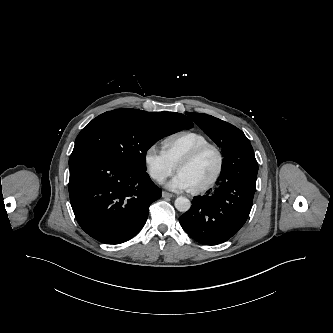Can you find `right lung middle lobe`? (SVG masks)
<instances>
[{"label":"right lung middle lobe","instance_id":"right-lung-middle-lobe-1","mask_svg":"<svg viewBox=\"0 0 333 333\" xmlns=\"http://www.w3.org/2000/svg\"><path fill=\"white\" fill-rule=\"evenodd\" d=\"M191 126L174 118L153 121L131 109H116L93 119L77 136L75 148L89 147L105 153L123 166L146 171V152L163 136Z\"/></svg>","mask_w":333,"mask_h":333}]
</instances>
